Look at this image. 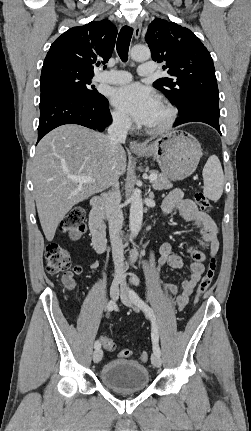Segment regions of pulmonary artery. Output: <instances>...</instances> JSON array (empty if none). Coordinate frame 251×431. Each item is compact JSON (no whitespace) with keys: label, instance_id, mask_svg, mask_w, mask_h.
Segmentation results:
<instances>
[{"label":"pulmonary artery","instance_id":"obj_1","mask_svg":"<svg viewBox=\"0 0 251 431\" xmlns=\"http://www.w3.org/2000/svg\"><path fill=\"white\" fill-rule=\"evenodd\" d=\"M155 70V65L152 62H146L139 66L138 73L140 76H148ZM99 79L109 84H125L131 81L132 76L127 71L111 70L103 72Z\"/></svg>","mask_w":251,"mask_h":431}]
</instances>
